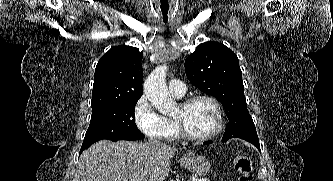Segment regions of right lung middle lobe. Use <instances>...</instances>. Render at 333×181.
<instances>
[{
	"label": "right lung middle lobe",
	"mask_w": 333,
	"mask_h": 181,
	"mask_svg": "<svg viewBox=\"0 0 333 181\" xmlns=\"http://www.w3.org/2000/svg\"><path fill=\"white\" fill-rule=\"evenodd\" d=\"M138 99L120 101L92 108L89 128L82 146L102 139L139 140L144 135L135 124L134 110Z\"/></svg>",
	"instance_id": "1"
}]
</instances>
